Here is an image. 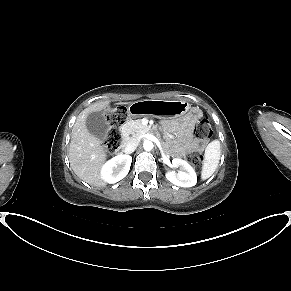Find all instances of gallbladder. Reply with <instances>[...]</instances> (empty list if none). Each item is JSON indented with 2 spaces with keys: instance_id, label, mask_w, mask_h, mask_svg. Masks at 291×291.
<instances>
[{
  "instance_id": "bac80fb5",
  "label": "gallbladder",
  "mask_w": 291,
  "mask_h": 291,
  "mask_svg": "<svg viewBox=\"0 0 291 291\" xmlns=\"http://www.w3.org/2000/svg\"><path fill=\"white\" fill-rule=\"evenodd\" d=\"M87 130L94 137L103 140L108 131V124L104 115L100 112H92L86 118Z\"/></svg>"
}]
</instances>
